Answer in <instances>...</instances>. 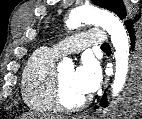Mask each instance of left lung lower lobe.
<instances>
[{
    "label": "left lung lower lobe",
    "instance_id": "1",
    "mask_svg": "<svg viewBox=\"0 0 142 119\" xmlns=\"http://www.w3.org/2000/svg\"><path fill=\"white\" fill-rule=\"evenodd\" d=\"M139 18H140V16H136V17H134V19H131V20L125 22L127 30L129 32V35L131 37L132 49H134L135 38L138 37L137 40H139L140 33L137 32V30L135 31L134 28H133L134 23H136L139 20ZM135 34L137 36H135ZM139 45L140 46L137 47V54H136V79H135L136 84H135V88H134V91H133L134 92L133 96H136V98H138L142 94L141 93L142 92L141 91V86H142V45L141 44H139ZM100 103L103 107L107 106V101H106L105 95L101 99Z\"/></svg>",
    "mask_w": 142,
    "mask_h": 119
}]
</instances>
